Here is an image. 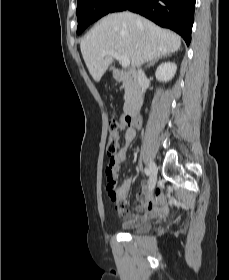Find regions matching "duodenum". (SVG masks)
<instances>
[{
    "instance_id": "410a0bca",
    "label": "duodenum",
    "mask_w": 229,
    "mask_h": 280,
    "mask_svg": "<svg viewBox=\"0 0 229 280\" xmlns=\"http://www.w3.org/2000/svg\"><path fill=\"white\" fill-rule=\"evenodd\" d=\"M114 78L117 82L127 81L129 83V97L125 103V120L128 125L137 124L138 111L143 104V87L134 71L116 70Z\"/></svg>"
}]
</instances>
